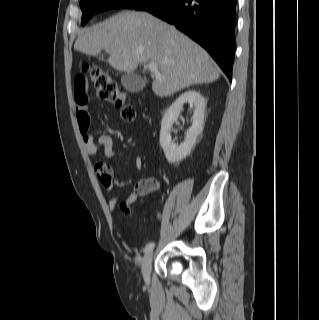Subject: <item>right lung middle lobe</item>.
<instances>
[{"label":"right lung middle lobe","mask_w":319,"mask_h":320,"mask_svg":"<svg viewBox=\"0 0 319 320\" xmlns=\"http://www.w3.org/2000/svg\"><path fill=\"white\" fill-rule=\"evenodd\" d=\"M152 0H80L81 23L85 24L96 13L114 8H137Z\"/></svg>","instance_id":"1"}]
</instances>
